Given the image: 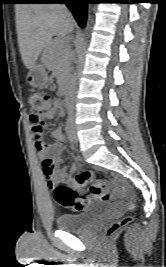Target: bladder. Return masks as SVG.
Segmentation results:
<instances>
[{"mask_svg":"<svg viewBox=\"0 0 166 267\" xmlns=\"http://www.w3.org/2000/svg\"><path fill=\"white\" fill-rule=\"evenodd\" d=\"M98 213V211H87L78 214H62L56 219V225L63 231H82L97 222Z\"/></svg>","mask_w":166,"mask_h":267,"instance_id":"obj_1","label":"bladder"}]
</instances>
